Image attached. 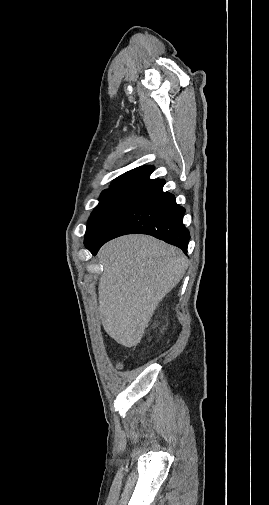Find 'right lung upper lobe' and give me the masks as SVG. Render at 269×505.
Instances as JSON below:
<instances>
[{
	"mask_svg": "<svg viewBox=\"0 0 269 505\" xmlns=\"http://www.w3.org/2000/svg\"><path fill=\"white\" fill-rule=\"evenodd\" d=\"M153 170V166H143L132 169L117 177L112 182L110 188H128L139 191L154 180L149 179Z\"/></svg>",
	"mask_w": 269,
	"mask_h": 505,
	"instance_id": "1",
	"label": "right lung upper lobe"
}]
</instances>
